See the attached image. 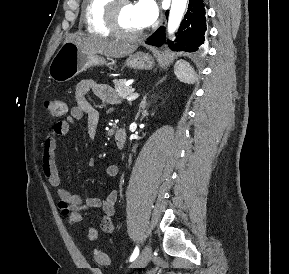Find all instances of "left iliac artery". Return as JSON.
Masks as SVG:
<instances>
[{"label": "left iliac artery", "mask_w": 289, "mask_h": 274, "mask_svg": "<svg viewBox=\"0 0 289 274\" xmlns=\"http://www.w3.org/2000/svg\"><path fill=\"white\" fill-rule=\"evenodd\" d=\"M138 255H139V248H138V246H136L129 261L130 262L134 261Z\"/></svg>", "instance_id": "obj_1"}]
</instances>
